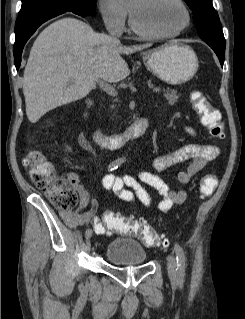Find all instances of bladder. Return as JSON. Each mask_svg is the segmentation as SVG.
I'll list each match as a JSON object with an SVG mask.
<instances>
[{
  "instance_id": "obj_1",
  "label": "bladder",
  "mask_w": 245,
  "mask_h": 319,
  "mask_svg": "<svg viewBox=\"0 0 245 319\" xmlns=\"http://www.w3.org/2000/svg\"><path fill=\"white\" fill-rule=\"evenodd\" d=\"M104 256L108 261L120 265L141 264L147 259V253L139 241L127 237L112 239L106 245Z\"/></svg>"
}]
</instances>
